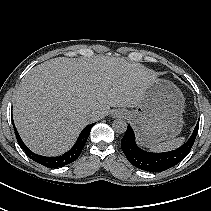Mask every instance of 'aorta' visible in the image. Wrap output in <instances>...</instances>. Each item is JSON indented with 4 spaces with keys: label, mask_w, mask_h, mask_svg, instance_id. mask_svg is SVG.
I'll use <instances>...</instances> for the list:
<instances>
[{
    "label": "aorta",
    "mask_w": 211,
    "mask_h": 211,
    "mask_svg": "<svg viewBox=\"0 0 211 211\" xmlns=\"http://www.w3.org/2000/svg\"><path fill=\"white\" fill-rule=\"evenodd\" d=\"M112 127L116 133L122 134L127 130V123L123 119H116L113 122Z\"/></svg>",
    "instance_id": "1"
}]
</instances>
